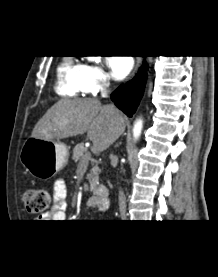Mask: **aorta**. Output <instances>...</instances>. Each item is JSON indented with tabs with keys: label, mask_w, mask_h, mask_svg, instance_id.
I'll return each mask as SVG.
<instances>
[{
	"label": "aorta",
	"mask_w": 218,
	"mask_h": 277,
	"mask_svg": "<svg viewBox=\"0 0 218 277\" xmlns=\"http://www.w3.org/2000/svg\"><path fill=\"white\" fill-rule=\"evenodd\" d=\"M90 57H91V60H94L96 62L100 61V56H90ZM142 126H143V121L141 119H138L135 122L134 128H133V135H134L135 139H137L140 136Z\"/></svg>",
	"instance_id": "1"
}]
</instances>
